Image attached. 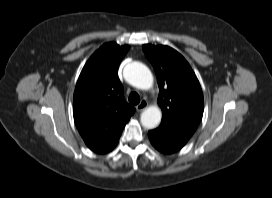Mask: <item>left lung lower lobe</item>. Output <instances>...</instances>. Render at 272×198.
I'll use <instances>...</instances> for the list:
<instances>
[{
    "label": "left lung lower lobe",
    "instance_id": "obj_1",
    "mask_svg": "<svg viewBox=\"0 0 272 198\" xmlns=\"http://www.w3.org/2000/svg\"><path fill=\"white\" fill-rule=\"evenodd\" d=\"M193 133L161 122L160 126L148 133L152 145L162 153L171 154L181 149Z\"/></svg>",
    "mask_w": 272,
    "mask_h": 198
}]
</instances>
